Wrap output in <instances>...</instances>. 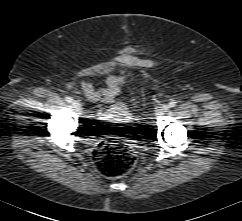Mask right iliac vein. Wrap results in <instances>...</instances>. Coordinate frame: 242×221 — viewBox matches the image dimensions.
I'll return each mask as SVG.
<instances>
[{"instance_id":"right-iliac-vein-1","label":"right iliac vein","mask_w":242,"mask_h":221,"mask_svg":"<svg viewBox=\"0 0 242 221\" xmlns=\"http://www.w3.org/2000/svg\"><path fill=\"white\" fill-rule=\"evenodd\" d=\"M72 106L75 110L80 109V103L78 101H73Z\"/></svg>"}]
</instances>
